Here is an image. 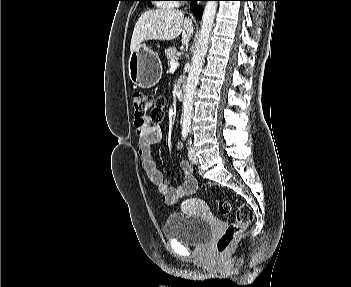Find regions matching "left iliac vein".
Listing matches in <instances>:
<instances>
[{
  "mask_svg": "<svg viewBox=\"0 0 351 287\" xmlns=\"http://www.w3.org/2000/svg\"><path fill=\"white\" fill-rule=\"evenodd\" d=\"M189 147H188V157L191 163L197 164L198 163V157L195 154L194 148L191 146V140L188 141Z\"/></svg>",
  "mask_w": 351,
  "mask_h": 287,
  "instance_id": "1",
  "label": "left iliac vein"
}]
</instances>
